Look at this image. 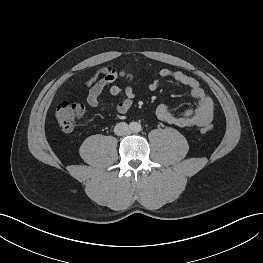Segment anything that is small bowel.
<instances>
[{
	"mask_svg": "<svg viewBox=\"0 0 263 263\" xmlns=\"http://www.w3.org/2000/svg\"><path fill=\"white\" fill-rule=\"evenodd\" d=\"M166 78H172L177 83L188 88L197 105L195 108H189L181 113L172 111L167 105H160L156 109L158 120L176 127H203L208 125L213 118L214 103L205 93L200 83L182 71L164 68L155 73L150 81L149 88L157 90ZM112 82L106 78L98 79L97 76L89 77L85 81V88L87 89L86 103L92 108L105 111V108L100 103V96L105 88L109 86L111 95L123 96V99L116 104L115 111L119 114H125L132 106L135 92L131 86L121 87Z\"/></svg>",
	"mask_w": 263,
	"mask_h": 263,
	"instance_id": "obj_1",
	"label": "small bowel"
}]
</instances>
